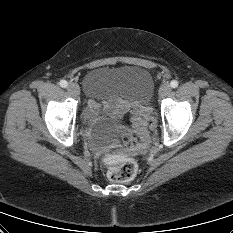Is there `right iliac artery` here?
Here are the masks:
<instances>
[{
  "label": "right iliac artery",
  "mask_w": 233,
  "mask_h": 233,
  "mask_svg": "<svg viewBox=\"0 0 233 233\" xmlns=\"http://www.w3.org/2000/svg\"><path fill=\"white\" fill-rule=\"evenodd\" d=\"M59 85H60L62 88H66L67 85H68V83H67L66 80H61V81L59 82Z\"/></svg>",
  "instance_id": "obj_1"
}]
</instances>
